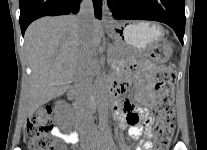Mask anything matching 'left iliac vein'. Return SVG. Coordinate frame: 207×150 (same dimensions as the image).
<instances>
[{
  "instance_id": "obj_1",
  "label": "left iliac vein",
  "mask_w": 207,
  "mask_h": 150,
  "mask_svg": "<svg viewBox=\"0 0 207 150\" xmlns=\"http://www.w3.org/2000/svg\"><path fill=\"white\" fill-rule=\"evenodd\" d=\"M89 149L90 150H118L113 141H108L107 143H104L97 148H94V144H93V147H90Z\"/></svg>"
}]
</instances>
